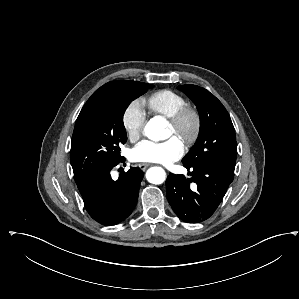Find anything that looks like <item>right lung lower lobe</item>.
<instances>
[{
  "mask_svg": "<svg viewBox=\"0 0 299 299\" xmlns=\"http://www.w3.org/2000/svg\"><path fill=\"white\" fill-rule=\"evenodd\" d=\"M94 172L76 183L89 215L103 225H115L125 220L133 211L144 173L138 167L122 172L118 180L110 171L119 163Z\"/></svg>",
  "mask_w": 299,
  "mask_h": 299,
  "instance_id": "98d812e1",
  "label": "right lung lower lobe"
}]
</instances>
